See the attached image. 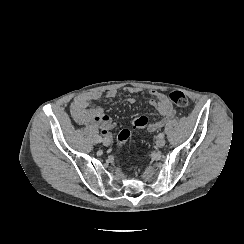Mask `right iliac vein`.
I'll use <instances>...</instances> for the list:
<instances>
[{"label": "right iliac vein", "mask_w": 244, "mask_h": 244, "mask_svg": "<svg viewBox=\"0 0 244 244\" xmlns=\"http://www.w3.org/2000/svg\"><path fill=\"white\" fill-rule=\"evenodd\" d=\"M103 144L105 145V146H109L110 144H111V138L110 137H105L104 139H103Z\"/></svg>", "instance_id": "1"}]
</instances>
